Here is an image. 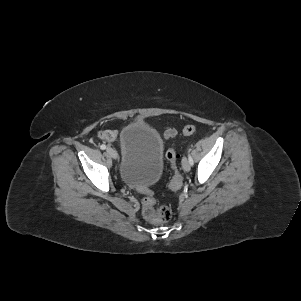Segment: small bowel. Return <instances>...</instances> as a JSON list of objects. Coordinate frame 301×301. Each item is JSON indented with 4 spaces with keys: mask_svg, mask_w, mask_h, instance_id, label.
<instances>
[{
    "mask_svg": "<svg viewBox=\"0 0 301 301\" xmlns=\"http://www.w3.org/2000/svg\"><path fill=\"white\" fill-rule=\"evenodd\" d=\"M113 134V133H112ZM176 130L174 128H166L164 131V138L166 140H170L172 138H174L176 136ZM113 138H114V134H113Z\"/></svg>",
    "mask_w": 301,
    "mask_h": 301,
    "instance_id": "obj_1",
    "label": "small bowel"
}]
</instances>
